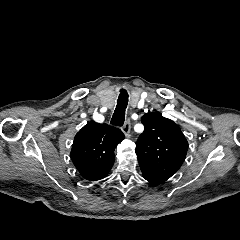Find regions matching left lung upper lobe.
<instances>
[{"label": "left lung upper lobe", "mask_w": 240, "mask_h": 240, "mask_svg": "<svg viewBox=\"0 0 240 240\" xmlns=\"http://www.w3.org/2000/svg\"><path fill=\"white\" fill-rule=\"evenodd\" d=\"M144 132L136 143L141 169L168 180L185 160L188 142L178 125L159 112L142 116Z\"/></svg>", "instance_id": "left-lung-upper-lobe-1"}]
</instances>
